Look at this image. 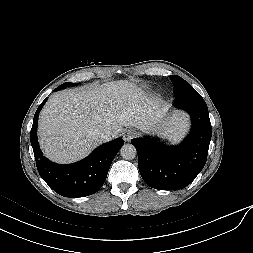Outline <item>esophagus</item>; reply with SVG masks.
<instances>
[{
	"instance_id": "34e87169",
	"label": "esophagus",
	"mask_w": 253,
	"mask_h": 253,
	"mask_svg": "<svg viewBox=\"0 0 253 253\" xmlns=\"http://www.w3.org/2000/svg\"><path fill=\"white\" fill-rule=\"evenodd\" d=\"M122 136L125 142H130L133 138L137 136V132L134 129H126L124 130Z\"/></svg>"
}]
</instances>
